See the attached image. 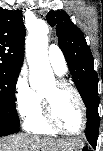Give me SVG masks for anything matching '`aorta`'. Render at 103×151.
<instances>
[{
	"label": "aorta",
	"mask_w": 103,
	"mask_h": 151,
	"mask_svg": "<svg viewBox=\"0 0 103 151\" xmlns=\"http://www.w3.org/2000/svg\"><path fill=\"white\" fill-rule=\"evenodd\" d=\"M49 28L45 21L36 20L29 28L26 38V57L31 76L42 79L44 74L51 75L48 62L47 44Z\"/></svg>",
	"instance_id": "762f6f07"
}]
</instances>
